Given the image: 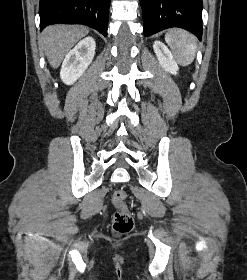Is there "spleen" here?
I'll list each match as a JSON object with an SVG mask.
<instances>
[{"mask_svg": "<svg viewBox=\"0 0 247 280\" xmlns=\"http://www.w3.org/2000/svg\"><path fill=\"white\" fill-rule=\"evenodd\" d=\"M165 41L180 65L188 66L193 62L197 51L194 35L183 29H171L166 33Z\"/></svg>", "mask_w": 247, "mask_h": 280, "instance_id": "spleen-1", "label": "spleen"}]
</instances>
